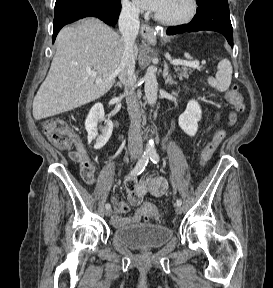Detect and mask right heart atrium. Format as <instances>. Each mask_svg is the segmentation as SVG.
I'll use <instances>...</instances> for the list:
<instances>
[{
  "mask_svg": "<svg viewBox=\"0 0 273 288\" xmlns=\"http://www.w3.org/2000/svg\"><path fill=\"white\" fill-rule=\"evenodd\" d=\"M122 10L130 17H136L139 13L137 6L130 0H122Z\"/></svg>",
  "mask_w": 273,
  "mask_h": 288,
  "instance_id": "right-heart-atrium-1",
  "label": "right heart atrium"
}]
</instances>
